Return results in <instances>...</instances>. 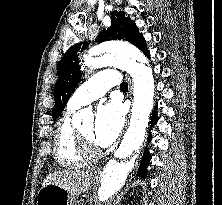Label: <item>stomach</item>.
<instances>
[{
    "label": "stomach",
    "mask_w": 222,
    "mask_h": 205,
    "mask_svg": "<svg viewBox=\"0 0 222 205\" xmlns=\"http://www.w3.org/2000/svg\"><path fill=\"white\" fill-rule=\"evenodd\" d=\"M92 180H95L94 175ZM37 205H74V197L62 187L48 184L39 190Z\"/></svg>",
    "instance_id": "obj_1"
}]
</instances>
